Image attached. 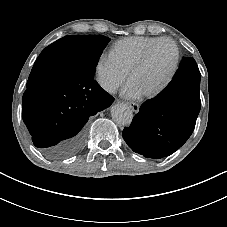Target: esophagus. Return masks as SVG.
<instances>
[{
  "label": "esophagus",
  "mask_w": 227,
  "mask_h": 227,
  "mask_svg": "<svg viewBox=\"0 0 227 227\" xmlns=\"http://www.w3.org/2000/svg\"><path fill=\"white\" fill-rule=\"evenodd\" d=\"M128 106L135 113H137L139 111V108H140L139 104L134 103V102H128Z\"/></svg>",
  "instance_id": "34e87169"
}]
</instances>
